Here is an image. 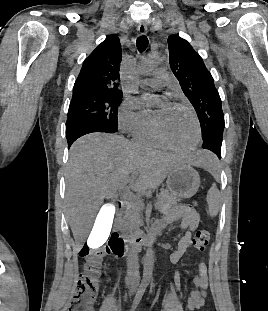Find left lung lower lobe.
I'll return each mask as SVG.
<instances>
[{
    "label": "left lung lower lobe",
    "instance_id": "0a47b994",
    "mask_svg": "<svg viewBox=\"0 0 268 311\" xmlns=\"http://www.w3.org/2000/svg\"><path fill=\"white\" fill-rule=\"evenodd\" d=\"M221 145L222 141L208 140L203 142L202 147L212 151L218 156V158H221Z\"/></svg>",
    "mask_w": 268,
    "mask_h": 311
}]
</instances>
